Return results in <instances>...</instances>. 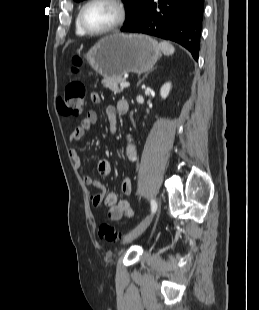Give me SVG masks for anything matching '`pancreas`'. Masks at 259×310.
Wrapping results in <instances>:
<instances>
[{
    "mask_svg": "<svg viewBox=\"0 0 259 310\" xmlns=\"http://www.w3.org/2000/svg\"><path fill=\"white\" fill-rule=\"evenodd\" d=\"M125 78L123 77H117V78H110V77H105L102 80V84L104 85L105 88L110 89L113 93L117 94L122 91L121 88H119L118 84L121 82H124Z\"/></svg>",
    "mask_w": 259,
    "mask_h": 310,
    "instance_id": "1",
    "label": "pancreas"
}]
</instances>
